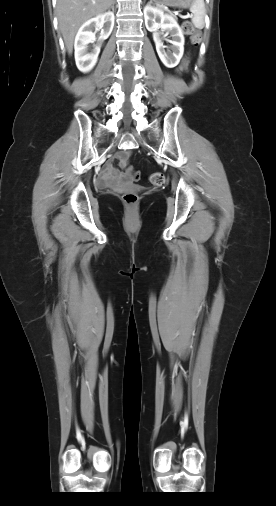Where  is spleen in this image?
<instances>
[{
	"label": "spleen",
	"instance_id": "3e777b00",
	"mask_svg": "<svg viewBox=\"0 0 276 506\" xmlns=\"http://www.w3.org/2000/svg\"><path fill=\"white\" fill-rule=\"evenodd\" d=\"M192 12V23L197 29H203L205 25V4L204 0H194L190 7Z\"/></svg>",
	"mask_w": 276,
	"mask_h": 506
}]
</instances>
